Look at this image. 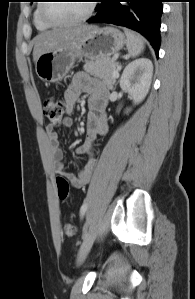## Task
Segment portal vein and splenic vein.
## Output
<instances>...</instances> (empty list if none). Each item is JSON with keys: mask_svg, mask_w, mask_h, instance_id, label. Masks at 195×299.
<instances>
[{"mask_svg": "<svg viewBox=\"0 0 195 299\" xmlns=\"http://www.w3.org/2000/svg\"><path fill=\"white\" fill-rule=\"evenodd\" d=\"M113 75H114V77H118L119 76V73H118V70L117 69H114V71H113Z\"/></svg>", "mask_w": 195, "mask_h": 299, "instance_id": "obj_1", "label": "portal vein and splenic vein"}]
</instances>
